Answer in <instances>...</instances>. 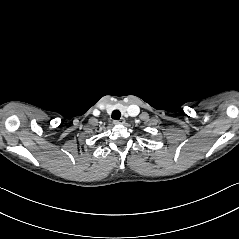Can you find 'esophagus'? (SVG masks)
Wrapping results in <instances>:
<instances>
[{"label": "esophagus", "instance_id": "esophagus-1", "mask_svg": "<svg viewBox=\"0 0 239 239\" xmlns=\"http://www.w3.org/2000/svg\"><path fill=\"white\" fill-rule=\"evenodd\" d=\"M114 123L115 124H124L125 123V119L124 118H120L119 120H115Z\"/></svg>", "mask_w": 239, "mask_h": 239}]
</instances>
